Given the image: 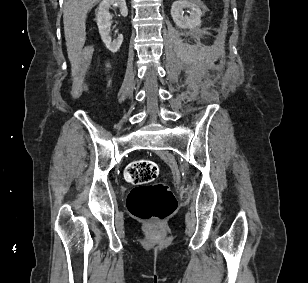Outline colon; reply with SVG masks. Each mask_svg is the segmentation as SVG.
<instances>
[{
  "instance_id": "obj_1",
  "label": "colon",
  "mask_w": 308,
  "mask_h": 283,
  "mask_svg": "<svg viewBox=\"0 0 308 283\" xmlns=\"http://www.w3.org/2000/svg\"><path fill=\"white\" fill-rule=\"evenodd\" d=\"M93 54L94 46L88 44L74 63L72 95L76 98L87 88ZM158 171V165L154 161L140 159L129 163L124 172L125 180L134 185L127 199L129 212L136 218L154 223L169 217L177 205L176 198L167 184H152Z\"/></svg>"
}]
</instances>
